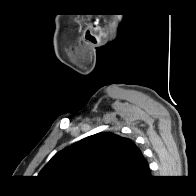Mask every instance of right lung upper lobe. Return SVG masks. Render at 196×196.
Returning a JSON list of instances; mask_svg holds the SVG:
<instances>
[{"label":"right lung upper lobe","mask_w":196,"mask_h":196,"mask_svg":"<svg viewBox=\"0 0 196 196\" xmlns=\"http://www.w3.org/2000/svg\"><path fill=\"white\" fill-rule=\"evenodd\" d=\"M149 174L148 162L131 139L101 132L56 153L39 176L56 184L108 188L141 182Z\"/></svg>","instance_id":"obj_1"}]
</instances>
